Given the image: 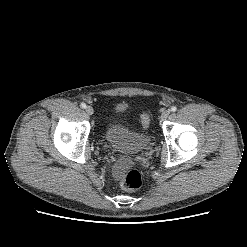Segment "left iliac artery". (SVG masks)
<instances>
[{
	"mask_svg": "<svg viewBox=\"0 0 247 247\" xmlns=\"http://www.w3.org/2000/svg\"><path fill=\"white\" fill-rule=\"evenodd\" d=\"M177 108L175 106L171 107L170 111L175 112Z\"/></svg>",
	"mask_w": 247,
	"mask_h": 247,
	"instance_id": "obj_1",
	"label": "left iliac artery"
}]
</instances>
